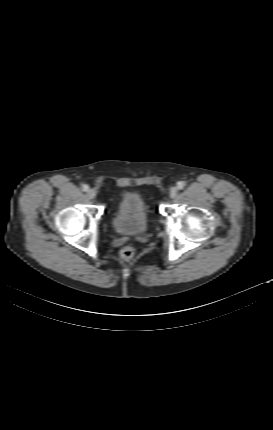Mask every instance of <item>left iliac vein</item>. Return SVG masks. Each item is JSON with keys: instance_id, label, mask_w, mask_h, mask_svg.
<instances>
[{"instance_id": "4c4485c4", "label": "left iliac vein", "mask_w": 273, "mask_h": 430, "mask_svg": "<svg viewBox=\"0 0 273 430\" xmlns=\"http://www.w3.org/2000/svg\"><path fill=\"white\" fill-rule=\"evenodd\" d=\"M177 188L176 187H171L170 188V192H169V194H170V197L171 198H175L176 197V195H177Z\"/></svg>"}]
</instances>
